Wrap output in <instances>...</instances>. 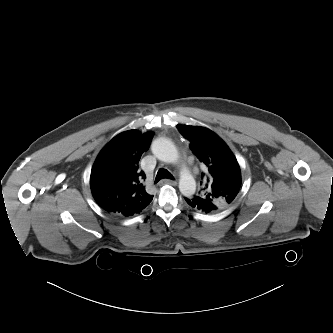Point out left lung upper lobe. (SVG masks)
<instances>
[{
    "label": "left lung upper lobe",
    "mask_w": 333,
    "mask_h": 333,
    "mask_svg": "<svg viewBox=\"0 0 333 333\" xmlns=\"http://www.w3.org/2000/svg\"><path fill=\"white\" fill-rule=\"evenodd\" d=\"M176 127L190 141L193 153L208 168L204 188L198 197L213 202L218 209L227 208L233 203L242 182L235 156L226 143L208 128L181 124Z\"/></svg>",
    "instance_id": "left-lung-upper-lobe-1"
}]
</instances>
